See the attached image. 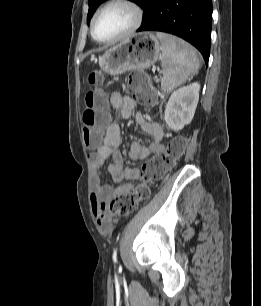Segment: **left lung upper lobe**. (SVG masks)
Masks as SVG:
<instances>
[{"mask_svg":"<svg viewBox=\"0 0 261 306\" xmlns=\"http://www.w3.org/2000/svg\"><path fill=\"white\" fill-rule=\"evenodd\" d=\"M106 0H89V11H88V15H87V22L88 25L90 23V19L93 16L95 10L97 9V7ZM135 2L136 4H138L142 9H144V7L146 6L147 2L149 0H130Z\"/></svg>","mask_w":261,"mask_h":306,"instance_id":"left-lung-upper-lobe-1","label":"left lung upper lobe"}]
</instances>
